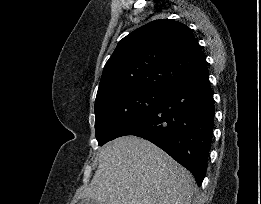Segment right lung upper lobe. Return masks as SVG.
<instances>
[{
  "instance_id": "1",
  "label": "right lung upper lobe",
  "mask_w": 261,
  "mask_h": 204,
  "mask_svg": "<svg viewBox=\"0 0 261 204\" xmlns=\"http://www.w3.org/2000/svg\"><path fill=\"white\" fill-rule=\"evenodd\" d=\"M205 62L188 26L171 19L152 21L118 43L103 69L95 102L120 90L165 91Z\"/></svg>"
}]
</instances>
